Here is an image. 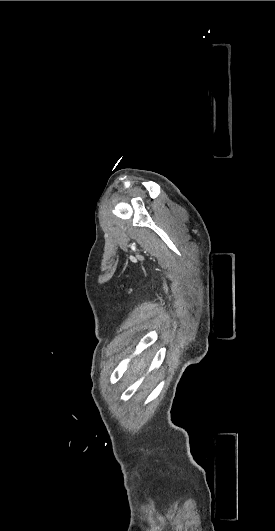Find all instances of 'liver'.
<instances>
[{"mask_svg": "<svg viewBox=\"0 0 275 531\" xmlns=\"http://www.w3.org/2000/svg\"><path fill=\"white\" fill-rule=\"evenodd\" d=\"M144 367H146V365H144V359H141L139 363H136V361H134L131 367V371L132 373H139V371H144Z\"/></svg>", "mask_w": 275, "mask_h": 531, "instance_id": "1", "label": "liver"}]
</instances>
